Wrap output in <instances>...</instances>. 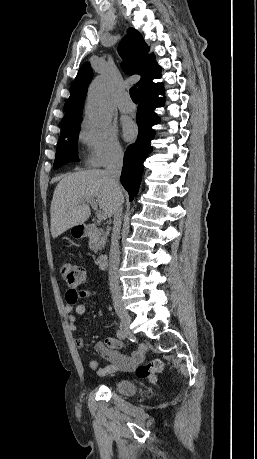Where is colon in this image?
Returning <instances> with one entry per match:
<instances>
[{
	"mask_svg": "<svg viewBox=\"0 0 257 459\" xmlns=\"http://www.w3.org/2000/svg\"><path fill=\"white\" fill-rule=\"evenodd\" d=\"M61 276L63 280L73 288L83 284L86 281V272L74 264H64L61 268ZM86 296L84 291L81 292L79 298ZM165 368V364L160 359H153L146 364H141L136 368V375L140 379H147L150 382H155L160 372Z\"/></svg>",
	"mask_w": 257,
	"mask_h": 459,
	"instance_id": "1",
	"label": "colon"
}]
</instances>
